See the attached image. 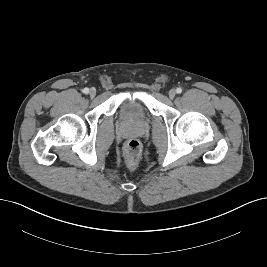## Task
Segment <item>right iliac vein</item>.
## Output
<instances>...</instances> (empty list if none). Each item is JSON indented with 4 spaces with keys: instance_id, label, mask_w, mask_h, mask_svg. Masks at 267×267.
Masks as SVG:
<instances>
[{
    "instance_id": "1",
    "label": "right iliac vein",
    "mask_w": 267,
    "mask_h": 267,
    "mask_svg": "<svg viewBox=\"0 0 267 267\" xmlns=\"http://www.w3.org/2000/svg\"><path fill=\"white\" fill-rule=\"evenodd\" d=\"M89 94H90L91 97H94L96 95V89L95 88H91Z\"/></svg>"
}]
</instances>
